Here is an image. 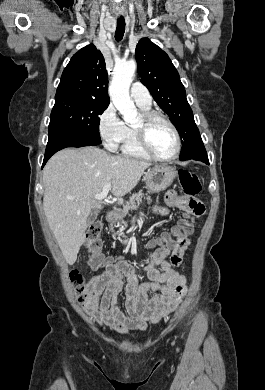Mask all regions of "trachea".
I'll list each match as a JSON object with an SVG mask.
<instances>
[{
  "instance_id": "trachea-1",
  "label": "trachea",
  "mask_w": 265,
  "mask_h": 390,
  "mask_svg": "<svg viewBox=\"0 0 265 390\" xmlns=\"http://www.w3.org/2000/svg\"><path fill=\"white\" fill-rule=\"evenodd\" d=\"M125 31V20L124 18L117 19V28L115 32V39L116 41H121L124 36Z\"/></svg>"
}]
</instances>
